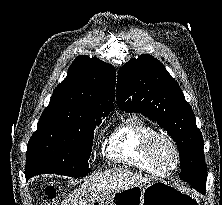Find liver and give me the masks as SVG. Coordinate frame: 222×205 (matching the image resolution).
I'll return each mask as SVG.
<instances>
[{
  "label": "liver",
  "instance_id": "liver-1",
  "mask_svg": "<svg viewBox=\"0 0 222 205\" xmlns=\"http://www.w3.org/2000/svg\"><path fill=\"white\" fill-rule=\"evenodd\" d=\"M151 181H154L152 177L142 176L127 169L107 170L86 179L61 205H88V202L93 203L108 198L119 190L140 186ZM84 196H88L87 199Z\"/></svg>",
  "mask_w": 222,
  "mask_h": 205
}]
</instances>
